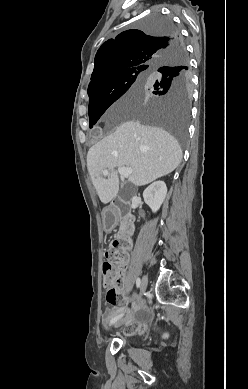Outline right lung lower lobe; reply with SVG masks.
<instances>
[{
	"instance_id": "98d812e1",
	"label": "right lung lower lobe",
	"mask_w": 248,
	"mask_h": 389,
	"mask_svg": "<svg viewBox=\"0 0 248 389\" xmlns=\"http://www.w3.org/2000/svg\"><path fill=\"white\" fill-rule=\"evenodd\" d=\"M179 50L175 52V54L179 55V56H183L185 55V50H184V47L182 46L181 42H179ZM159 70V69H158Z\"/></svg>"
}]
</instances>
